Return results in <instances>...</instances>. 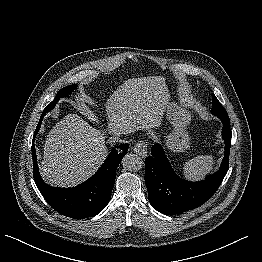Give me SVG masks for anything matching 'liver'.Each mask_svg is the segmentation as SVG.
<instances>
[{"instance_id": "1", "label": "liver", "mask_w": 262, "mask_h": 262, "mask_svg": "<svg viewBox=\"0 0 262 262\" xmlns=\"http://www.w3.org/2000/svg\"><path fill=\"white\" fill-rule=\"evenodd\" d=\"M168 100L162 76L126 80L105 104L109 133L119 136L157 126ZM104 135L81 116L66 115L46 138L44 158L39 165L42 178L60 187L85 181L107 157Z\"/></svg>"}]
</instances>
